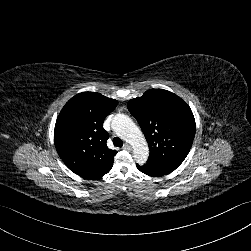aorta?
<instances>
[{"label":"aorta","mask_w":251,"mask_h":251,"mask_svg":"<svg viewBox=\"0 0 251 251\" xmlns=\"http://www.w3.org/2000/svg\"><path fill=\"white\" fill-rule=\"evenodd\" d=\"M113 131L133 147V158L137 163H144L149 155V148L140 128L126 115L117 114L112 122Z\"/></svg>","instance_id":"1"}]
</instances>
